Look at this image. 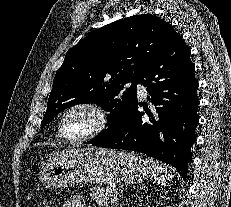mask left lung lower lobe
Instances as JSON below:
<instances>
[{
    "label": "left lung lower lobe",
    "instance_id": "left-lung-lower-lobe-1",
    "mask_svg": "<svg viewBox=\"0 0 231 207\" xmlns=\"http://www.w3.org/2000/svg\"><path fill=\"white\" fill-rule=\"evenodd\" d=\"M190 53L180 37L151 59L138 83L147 87L155 107L139 112L141 103L136 101L122 116L118 128L93 139V145L145 153L171 164L186 180L199 121V85Z\"/></svg>",
    "mask_w": 231,
    "mask_h": 207
}]
</instances>
